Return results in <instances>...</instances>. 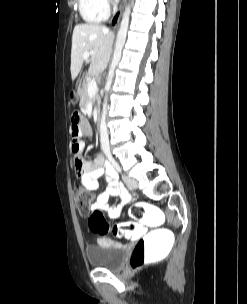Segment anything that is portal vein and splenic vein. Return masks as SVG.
<instances>
[{
	"mask_svg": "<svg viewBox=\"0 0 247 304\" xmlns=\"http://www.w3.org/2000/svg\"><path fill=\"white\" fill-rule=\"evenodd\" d=\"M91 54H92L91 52H85L83 54V59L87 60L90 57ZM96 92H97V84H96V81L92 79L88 83V94L90 96H93V95L96 94Z\"/></svg>",
	"mask_w": 247,
	"mask_h": 304,
	"instance_id": "1",
	"label": "portal vein and splenic vein"
}]
</instances>
